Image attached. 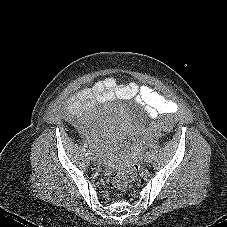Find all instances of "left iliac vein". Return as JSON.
Masks as SVG:
<instances>
[{
  "label": "left iliac vein",
  "mask_w": 227,
  "mask_h": 227,
  "mask_svg": "<svg viewBox=\"0 0 227 227\" xmlns=\"http://www.w3.org/2000/svg\"><path fill=\"white\" fill-rule=\"evenodd\" d=\"M151 160H152V153L150 151H147L144 155V161L148 163Z\"/></svg>",
  "instance_id": "obj_1"
}]
</instances>
